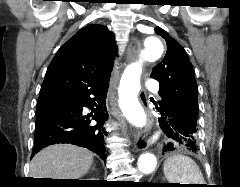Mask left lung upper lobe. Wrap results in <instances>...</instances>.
<instances>
[{
	"instance_id": "left-lung-upper-lobe-1",
	"label": "left lung upper lobe",
	"mask_w": 240,
	"mask_h": 187,
	"mask_svg": "<svg viewBox=\"0 0 240 187\" xmlns=\"http://www.w3.org/2000/svg\"><path fill=\"white\" fill-rule=\"evenodd\" d=\"M155 32L167 44L164 59L153 68L151 77L159 81L162 102H173L189 109L196 116L198 110V91L194 70L184 48L160 27Z\"/></svg>"
}]
</instances>
